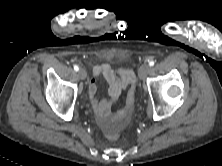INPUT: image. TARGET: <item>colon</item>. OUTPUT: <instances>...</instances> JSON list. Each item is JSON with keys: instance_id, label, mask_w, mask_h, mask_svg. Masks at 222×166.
I'll list each match as a JSON object with an SVG mask.
<instances>
[{"instance_id": "colon-1", "label": "colon", "mask_w": 222, "mask_h": 166, "mask_svg": "<svg viewBox=\"0 0 222 166\" xmlns=\"http://www.w3.org/2000/svg\"><path fill=\"white\" fill-rule=\"evenodd\" d=\"M133 103H134V88H131L127 95L126 104L123 109L117 112L116 119L123 118L128 113V111L132 108ZM106 135L111 140H115L118 137V134L115 130H109L106 133Z\"/></svg>"}]
</instances>
